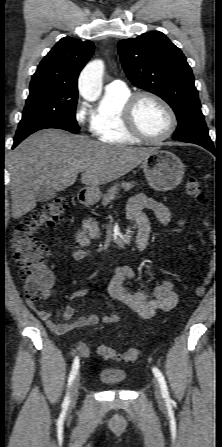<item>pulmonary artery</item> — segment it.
Instances as JSON below:
<instances>
[{
  "mask_svg": "<svg viewBox=\"0 0 222 447\" xmlns=\"http://www.w3.org/2000/svg\"><path fill=\"white\" fill-rule=\"evenodd\" d=\"M127 89L126 84L121 80H113L106 85V91H123Z\"/></svg>",
  "mask_w": 222,
  "mask_h": 447,
  "instance_id": "pulmonary-artery-1",
  "label": "pulmonary artery"
}]
</instances>
